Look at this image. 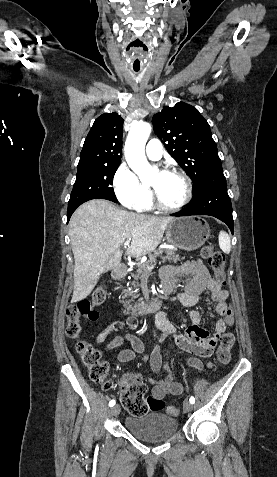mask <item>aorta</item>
Returning <instances> with one entry per match:
<instances>
[{
	"label": "aorta",
	"mask_w": 277,
	"mask_h": 477,
	"mask_svg": "<svg viewBox=\"0 0 277 477\" xmlns=\"http://www.w3.org/2000/svg\"><path fill=\"white\" fill-rule=\"evenodd\" d=\"M151 130L152 127L149 123H133L125 143L126 161L143 182L152 180L157 171L156 168L151 167L145 156V144Z\"/></svg>",
	"instance_id": "1"
}]
</instances>
